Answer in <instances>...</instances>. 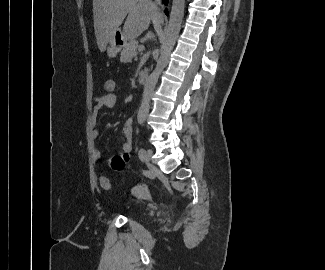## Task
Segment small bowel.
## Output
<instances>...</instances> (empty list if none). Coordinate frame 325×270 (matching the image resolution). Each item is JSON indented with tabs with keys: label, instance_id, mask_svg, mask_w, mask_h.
Listing matches in <instances>:
<instances>
[{
	"label": "small bowel",
	"instance_id": "1",
	"mask_svg": "<svg viewBox=\"0 0 325 270\" xmlns=\"http://www.w3.org/2000/svg\"><path fill=\"white\" fill-rule=\"evenodd\" d=\"M117 95L116 93H105L101 96L94 98V107H93V115L91 119V136L93 139H97L100 135L99 130L96 128V119L98 113L102 109H112L117 105ZM122 134L125 138L124 143L122 144L123 154L115 155L110 160V166L114 171L122 170L127 161L131 158L132 152V137H133V122L132 119H128L125 121ZM92 156L95 160H99L101 157V151L99 148L94 147L92 150Z\"/></svg>",
	"mask_w": 325,
	"mask_h": 270
}]
</instances>
